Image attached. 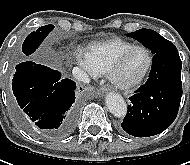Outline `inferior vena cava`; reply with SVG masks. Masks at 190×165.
Segmentation results:
<instances>
[{"label": "inferior vena cava", "instance_id": "1", "mask_svg": "<svg viewBox=\"0 0 190 165\" xmlns=\"http://www.w3.org/2000/svg\"><path fill=\"white\" fill-rule=\"evenodd\" d=\"M72 74L74 76V78L78 81L84 82V83H89L90 82V78L89 76L80 68L78 67H74L72 70Z\"/></svg>", "mask_w": 190, "mask_h": 165}]
</instances>
